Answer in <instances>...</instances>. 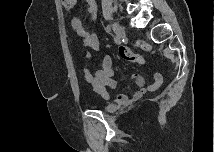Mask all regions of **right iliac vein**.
Segmentation results:
<instances>
[{
    "instance_id": "63e3f726",
    "label": "right iliac vein",
    "mask_w": 215,
    "mask_h": 152,
    "mask_svg": "<svg viewBox=\"0 0 215 152\" xmlns=\"http://www.w3.org/2000/svg\"><path fill=\"white\" fill-rule=\"evenodd\" d=\"M111 27L119 39H122L125 37V31L118 23L116 22L112 23Z\"/></svg>"
}]
</instances>
